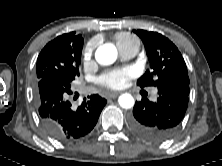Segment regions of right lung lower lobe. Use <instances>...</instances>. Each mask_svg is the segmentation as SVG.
I'll list each match as a JSON object with an SVG mask.
<instances>
[{"label":"right lung lower lobe","instance_id":"1","mask_svg":"<svg viewBox=\"0 0 222 166\" xmlns=\"http://www.w3.org/2000/svg\"><path fill=\"white\" fill-rule=\"evenodd\" d=\"M70 83L61 75H48L38 79L35 93L42 126L59 141H72L88 134L107 102L94 94L78 108L72 107L68 100L72 94Z\"/></svg>","mask_w":222,"mask_h":166}]
</instances>
